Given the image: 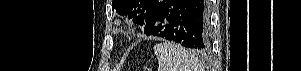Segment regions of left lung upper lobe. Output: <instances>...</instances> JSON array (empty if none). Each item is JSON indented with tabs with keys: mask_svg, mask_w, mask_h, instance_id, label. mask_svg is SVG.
I'll return each instance as SVG.
<instances>
[{
	"mask_svg": "<svg viewBox=\"0 0 301 71\" xmlns=\"http://www.w3.org/2000/svg\"><path fill=\"white\" fill-rule=\"evenodd\" d=\"M161 0H113L112 7L119 15L133 18L137 24L143 25L153 14Z\"/></svg>",
	"mask_w": 301,
	"mask_h": 71,
	"instance_id": "1",
	"label": "left lung upper lobe"
}]
</instances>
